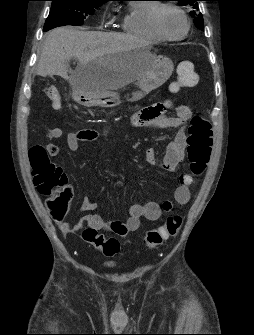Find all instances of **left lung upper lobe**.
Here are the masks:
<instances>
[{
    "label": "left lung upper lobe",
    "mask_w": 254,
    "mask_h": 335,
    "mask_svg": "<svg viewBox=\"0 0 254 335\" xmlns=\"http://www.w3.org/2000/svg\"><path fill=\"white\" fill-rule=\"evenodd\" d=\"M178 1L181 5L185 6H191L193 8H198L197 1L199 0H175ZM191 15L195 18L194 22L198 26L199 29H204V21L201 14H198L197 12H191Z\"/></svg>",
    "instance_id": "obj_1"
}]
</instances>
